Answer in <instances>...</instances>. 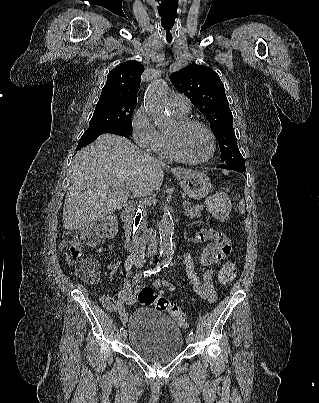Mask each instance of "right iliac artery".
<instances>
[{
  "mask_svg": "<svg viewBox=\"0 0 319 403\" xmlns=\"http://www.w3.org/2000/svg\"><path fill=\"white\" fill-rule=\"evenodd\" d=\"M167 264L165 263H158L157 266L154 269L144 271L142 273H139L136 275L133 279V285H136L146 276H150L151 274H156L162 270V268L166 267ZM121 333L124 331V328H120L119 330Z\"/></svg>",
  "mask_w": 319,
  "mask_h": 403,
  "instance_id": "obj_1",
  "label": "right iliac artery"
}]
</instances>
